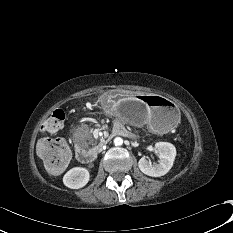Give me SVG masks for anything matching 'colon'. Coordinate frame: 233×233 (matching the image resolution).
<instances>
[{"instance_id":"1","label":"colon","mask_w":233,"mask_h":233,"mask_svg":"<svg viewBox=\"0 0 233 233\" xmlns=\"http://www.w3.org/2000/svg\"><path fill=\"white\" fill-rule=\"evenodd\" d=\"M65 120V112L55 110L42 123L41 130L45 134H54L61 130ZM37 153L49 174L61 173L69 164L71 151L65 140L60 138L41 139L37 144Z\"/></svg>"}]
</instances>
